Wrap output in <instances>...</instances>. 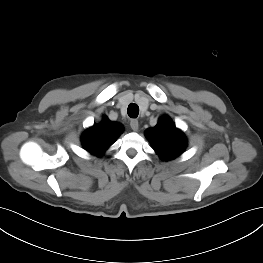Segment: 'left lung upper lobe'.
I'll list each match as a JSON object with an SVG mask.
<instances>
[{
    "mask_svg": "<svg viewBox=\"0 0 263 263\" xmlns=\"http://www.w3.org/2000/svg\"><path fill=\"white\" fill-rule=\"evenodd\" d=\"M145 135L162 160L174 159L187 146L186 137L168 116H163L155 127L147 129Z\"/></svg>",
    "mask_w": 263,
    "mask_h": 263,
    "instance_id": "1",
    "label": "left lung upper lobe"
}]
</instances>
